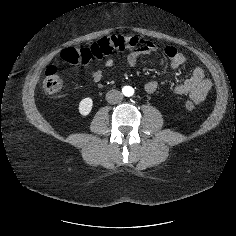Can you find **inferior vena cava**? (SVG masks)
<instances>
[{"mask_svg": "<svg viewBox=\"0 0 236 236\" xmlns=\"http://www.w3.org/2000/svg\"><path fill=\"white\" fill-rule=\"evenodd\" d=\"M123 99V94L118 90H110L106 94V100L109 103L115 104Z\"/></svg>", "mask_w": 236, "mask_h": 236, "instance_id": "1", "label": "inferior vena cava"}]
</instances>
